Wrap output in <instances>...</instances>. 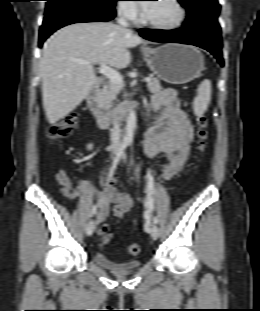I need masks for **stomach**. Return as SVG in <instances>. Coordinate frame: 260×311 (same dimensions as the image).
Listing matches in <instances>:
<instances>
[{"mask_svg":"<svg viewBox=\"0 0 260 311\" xmlns=\"http://www.w3.org/2000/svg\"><path fill=\"white\" fill-rule=\"evenodd\" d=\"M150 70L171 84H184L204 71V56L195 47L168 43L160 47L143 49Z\"/></svg>","mask_w":260,"mask_h":311,"instance_id":"stomach-1","label":"stomach"}]
</instances>
